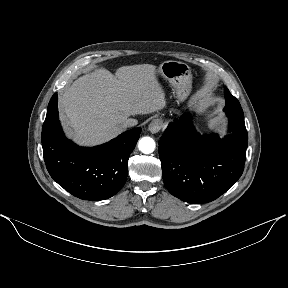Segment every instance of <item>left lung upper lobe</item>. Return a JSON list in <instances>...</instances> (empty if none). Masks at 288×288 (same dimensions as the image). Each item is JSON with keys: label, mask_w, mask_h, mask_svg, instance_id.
Segmentation results:
<instances>
[{"label": "left lung upper lobe", "mask_w": 288, "mask_h": 288, "mask_svg": "<svg viewBox=\"0 0 288 288\" xmlns=\"http://www.w3.org/2000/svg\"><path fill=\"white\" fill-rule=\"evenodd\" d=\"M224 90L226 98V106L224 107V111L239 117H244L239 101L229 92L226 87Z\"/></svg>", "instance_id": "1"}]
</instances>
